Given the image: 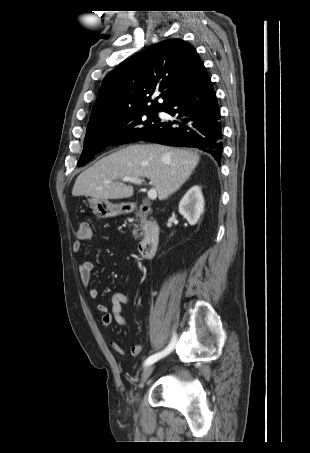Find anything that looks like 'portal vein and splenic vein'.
Wrapping results in <instances>:
<instances>
[{
	"label": "portal vein and splenic vein",
	"instance_id": "18ae733b",
	"mask_svg": "<svg viewBox=\"0 0 310 453\" xmlns=\"http://www.w3.org/2000/svg\"><path fill=\"white\" fill-rule=\"evenodd\" d=\"M122 181L123 182H130V183H134V184H142L143 180L142 179H139V178H132V177H123L122 178ZM105 183H111V181H106ZM148 195V198L150 200H156L157 198V192L155 189H150L147 193Z\"/></svg>",
	"mask_w": 310,
	"mask_h": 453
}]
</instances>
